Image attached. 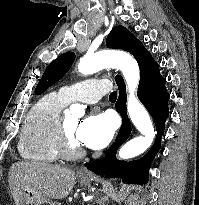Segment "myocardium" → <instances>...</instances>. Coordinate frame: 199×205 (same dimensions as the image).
<instances>
[{"label":"myocardium","mask_w":199,"mask_h":205,"mask_svg":"<svg viewBox=\"0 0 199 205\" xmlns=\"http://www.w3.org/2000/svg\"><path fill=\"white\" fill-rule=\"evenodd\" d=\"M55 148L60 158L73 160L84 155L80 145L73 144L66 130L65 119L61 118L55 137Z\"/></svg>","instance_id":"1"}]
</instances>
